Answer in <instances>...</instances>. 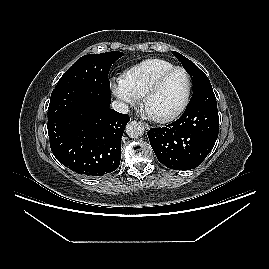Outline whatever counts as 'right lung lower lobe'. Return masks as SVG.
I'll return each instance as SVG.
<instances>
[{"instance_id":"right-lung-lower-lobe-1","label":"right lung lower lobe","mask_w":269,"mask_h":269,"mask_svg":"<svg viewBox=\"0 0 269 269\" xmlns=\"http://www.w3.org/2000/svg\"><path fill=\"white\" fill-rule=\"evenodd\" d=\"M109 90L94 86L56 87L48 108L54 156L72 171L103 176L121 160V137L130 117L110 109Z\"/></svg>"}]
</instances>
